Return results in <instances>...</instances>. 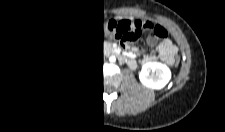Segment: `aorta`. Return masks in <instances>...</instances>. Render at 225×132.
Here are the masks:
<instances>
[{"label":"aorta","instance_id":"762f6f07","mask_svg":"<svg viewBox=\"0 0 225 132\" xmlns=\"http://www.w3.org/2000/svg\"><path fill=\"white\" fill-rule=\"evenodd\" d=\"M109 60H110V62L112 63V62H115L116 58H115V56H111V57L109 58Z\"/></svg>","mask_w":225,"mask_h":132}]
</instances>
